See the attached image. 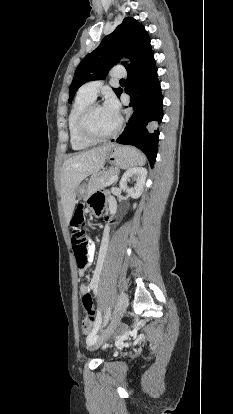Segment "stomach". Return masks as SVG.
Instances as JSON below:
<instances>
[{
	"label": "stomach",
	"mask_w": 233,
	"mask_h": 414,
	"mask_svg": "<svg viewBox=\"0 0 233 414\" xmlns=\"http://www.w3.org/2000/svg\"><path fill=\"white\" fill-rule=\"evenodd\" d=\"M142 154L132 147L114 146L106 154V160L117 168L132 167L140 158ZM77 195L81 199H87L89 196L88 187L85 184L77 188Z\"/></svg>",
	"instance_id": "0dacf381"
}]
</instances>
